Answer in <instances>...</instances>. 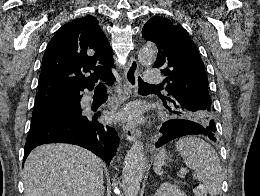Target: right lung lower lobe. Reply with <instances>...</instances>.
I'll list each match as a JSON object with an SVG mask.
<instances>
[{
  "label": "right lung lower lobe",
  "instance_id": "obj_1",
  "mask_svg": "<svg viewBox=\"0 0 260 196\" xmlns=\"http://www.w3.org/2000/svg\"><path fill=\"white\" fill-rule=\"evenodd\" d=\"M113 83L114 78H111ZM82 95L68 97L53 103V107L65 111L81 112L80 100ZM100 112L89 113L81 117L59 122L29 131L23 162L35 147L47 143H69L84 147L107 164L116 153L119 138L114 128L98 122Z\"/></svg>",
  "mask_w": 260,
  "mask_h": 196
}]
</instances>
